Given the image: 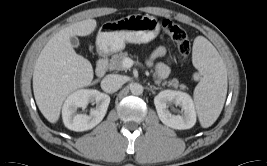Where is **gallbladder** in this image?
Instances as JSON below:
<instances>
[{
  "instance_id": "1",
  "label": "gallbladder",
  "mask_w": 267,
  "mask_h": 166,
  "mask_svg": "<svg viewBox=\"0 0 267 166\" xmlns=\"http://www.w3.org/2000/svg\"><path fill=\"white\" fill-rule=\"evenodd\" d=\"M70 42H71V45L74 47V48H77L79 46V39L75 36H72L70 38Z\"/></svg>"
}]
</instances>
